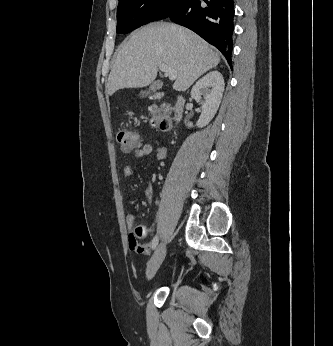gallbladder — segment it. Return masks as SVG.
<instances>
[{"mask_svg":"<svg viewBox=\"0 0 333 346\" xmlns=\"http://www.w3.org/2000/svg\"><path fill=\"white\" fill-rule=\"evenodd\" d=\"M162 86H163V83H162L161 81H155V82H153L152 85L150 86L149 91H147V92H146V91H144V92L142 91V92L140 93V95H141L142 97L147 96L148 94H150V92H155V91L161 89Z\"/></svg>","mask_w":333,"mask_h":346,"instance_id":"gallbladder-1","label":"gallbladder"}]
</instances>
